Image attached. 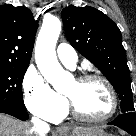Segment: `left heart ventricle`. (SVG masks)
Listing matches in <instances>:
<instances>
[{
  "mask_svg": "<svg viewBox=\"0 0 136 136\" xmlns=\"http://www.w3.org/2000/svg\"><path fill=\"white\" fill-rule=\"evenodd\" d=\"M77 109L88 117H101L111 108V97L106 86L99 81L78 83L72 81L65 90Z\"/></svg>",
  "mask_w": 136,
  "mask_h": 136,
  "instance_id": "1",
  "label": "left heart ventricle"
}]
</instances>
